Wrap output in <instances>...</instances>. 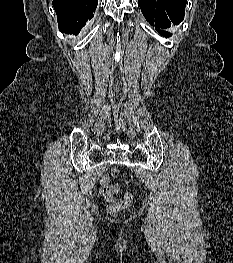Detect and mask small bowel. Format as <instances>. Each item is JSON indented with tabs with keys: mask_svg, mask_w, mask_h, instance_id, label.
Returning <instances> with one entry per match:
<instances>
[{
	"mask_svg": "<svg viewBox=\"0 0 233 263\" xmlns=\"http://www.w3.org/2000/svg\"><path fill=\"white\" fill-rule=\"evenodd\" d=\"M99 193L100 195L110 203H116L115 194L119 191V186L117 184H110V177L108 175H103L99 181Z\"/></svg>",
	"mask_w": 233,
	"mask_h": 263,
	"instance_id": "c3829d8e",
	"label": "small bowel"
}]
</instances>
